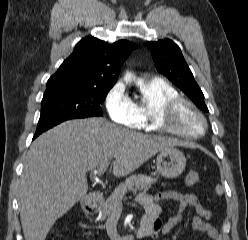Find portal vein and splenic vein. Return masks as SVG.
<instances>
[{
    "label": "portal vein and splenic vein",
    "instance_id": "obj_1",
    "mask_svg": "<svg viewBox=\"0 0 248 240\" xmlns=\"http://www.w3.org/2000/svg\"><path fill=\"white\" fill-rule=\"evenodd\" d=\"M108 165H109V162L108 161L100 164L98 166V175H101L106 170V168L108 167Z\"/></svg>",
    "mask_w": 248,
    "mask_h": 240
}]
</instances>
